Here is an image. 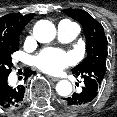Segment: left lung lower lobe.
I'll list each match as a JSON object with an SVG mask.
<instances>
[{
  "label": "left lung lower lobe",
  "instance_id": "obj_1",
  "mask_svg": "<svg viewBox=\"0 0 117 117\" xmlns=\"http://www.w3.org/2000/svg\"><path fill=\"white\" fill-rule=\"evenodd\" d=\"M99 85L92 78H84L82 91L63 98V105L67 108L78 109L90 105L97 97Z\"/></svg>",
  "mask_w": 117,
  "mask_h": 117
}]
</instances>
